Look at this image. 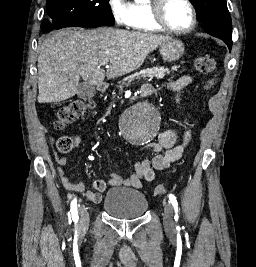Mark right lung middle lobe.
<instances>
[{
	"instance_id": "right-lung-middle-lobe-1",
	"label": "right lung middle lobe",
	"mask_w": 256,
	"mask_h": 267,
	"mask_svg": "<svg viewBox=\"0 0 256 267\" xmlns=\"http://www.w3.org/2000/svg\"><path fill=\"white\" fill-rule=\"evenodd\" d=\"M109 0H47L46 20L42 30L64 27H98L112 26L114 17Z\"/></svg>"
}]
</instances>
